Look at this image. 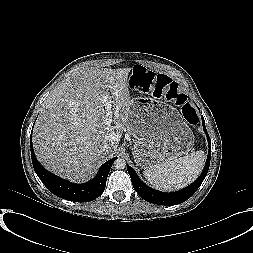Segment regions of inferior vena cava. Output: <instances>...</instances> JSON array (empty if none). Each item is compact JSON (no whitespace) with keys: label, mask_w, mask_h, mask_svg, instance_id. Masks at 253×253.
<instances>
[{"label":"inferior vena cava","mask_w":253,"mask_h":253,"mask_svg":"<svg viewBox=\"0 0 253 253\" xmlns=\"http://www.w3.org/2000/svg\"><path fill=\"white\" fill-rule=\"evenodd\" d=\"M109 148H110V145L108 143H104L103 146H102V149L104 151H107Z\"/></svg>","instance_id":"inferior-vena-cava-1"}]
</instances>
